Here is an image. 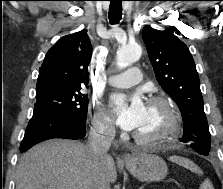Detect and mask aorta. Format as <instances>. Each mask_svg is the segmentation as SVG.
Wrapping results in <instances>:
<instances>
[{
  "instance_id": "aorta-1",
  "label": "aorta",
  "mask_w": 223,
  "mask_h": 189,
  "mask_svg": "<svg viewBox=\"0 0 223 189\" xmlns=\"http://www.w3.org/2000/svg\"><path fill=\"white\" fill-rule=\"evenodd\" d=\"M142 54V49L137 44H129L122 47L117 52V67L119 69H125L132 63L139 60Z\"/></svg>"
}]
</instances>
